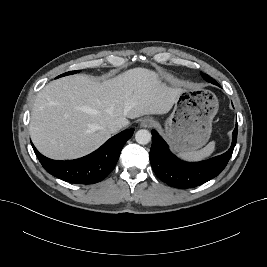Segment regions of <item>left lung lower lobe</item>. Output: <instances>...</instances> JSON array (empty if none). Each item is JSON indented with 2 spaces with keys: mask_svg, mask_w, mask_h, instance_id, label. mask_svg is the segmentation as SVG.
<instances>
[{
  "mask_svg": "<svg viewBox=\"0 0 267 267\" xmlns=\"http://www.w3.org/2000/svg\"><path fill=\"white\" fill-rule=\"evenodd\" d=\"M216 85H218L215 82ZM238 125L233 131L230 149L222 155L201 162H185L172 154L163 138L152 130L150 162L156 176L169 186L185 189L197 187L218 176L227 165L237 140Z\"/></svg>",
  "mask_w": 267,
  "mask_h": 267,
  "instance_id": "0a47b994",
  "label": "left lung lower lobe"
}]
</instances>
